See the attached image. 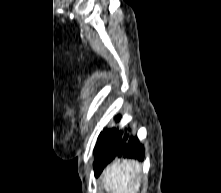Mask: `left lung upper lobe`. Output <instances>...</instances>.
I'll return each mask as SVG.
<instances>
[{
    "label": "left lung upper lobe",
    "mask_w": 221,
    "mask_h": 193,
    "mask_svg": "<svg viewBox=\"0 0 221 193\" xmlns=\"http://www.w3.org/2000/svg\"><path fill=\"white\" fill-rule=\"evenodd\" d=\"M102 133H103V132L100 133V135H99V137H98V140H99V138L101 137Z\"/></svg>",
    "instance_id": "5c2ea615"
}]
</instances>
